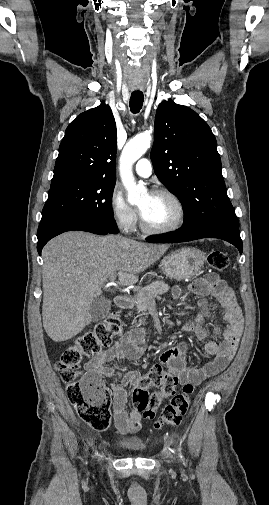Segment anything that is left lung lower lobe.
I'll list each match as a JSON object with an SVG mask.
<instances>
[{
    "label": "left lung lower lobe",
    "instance_id": "left-lung-lower-lobe-1",
    "mask_svg": "<svg viewBox=\"0 0 269 505\" xmlns=\"http://www.w3.org/2000/svg\"><path fill=\"white\" fill-rule=\"evenodd\" d=\"M201 238L222 239L237 247L240 254L243 251L238 225L233 223H218L207 228L192 232L178 229L175 233L160 237H152L147 241L150 243H174L191 241Z\"/></svg>",
    "mask_w": 269,
    "mask_h": 505
}]
</instances>
